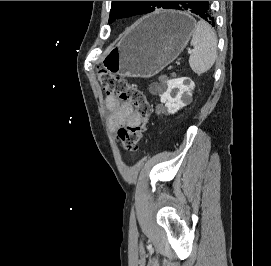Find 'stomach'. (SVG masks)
<instances>
[{
	"label": "stomach",
	"instance_id": "1",
	"mask_svg": "<svg viewBox=\"0 0 271 266\" xmlns=\"http://www.w3.org/2000/svg\"><path fill=\"white\" fill-rule=\"evenodd\" d=\"M194 28L195 20L186 12H156L125 32L102 64L121 76L152 77L178 57Z\"/></svg>",
	"mask_w": 271,
	"mask_h": 266
}]
</instances>
